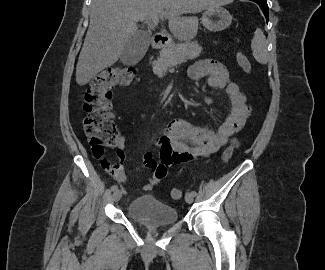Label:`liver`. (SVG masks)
<instances>
[{
    "label": "liver",
    "instance_id": "liver-1",
    "mask_svg": "<svg viewBox=\"0 0 325 270\" xmlns=\"http://www.w3.org/2000/svg\"><path fill=\"white\" fill-rule=\"evenodd\" d=\"M230 1L92 0L90 25L76 66V82L86 85L118 61L130 37L137 32L138 17L152 19L155 26L158 15L164 13L175 37L192 39L198 30V19L183 15L220 7Z\"/></svg>",
    "mask_w": 325,
    "mask_h": 270
}]
</instances>
